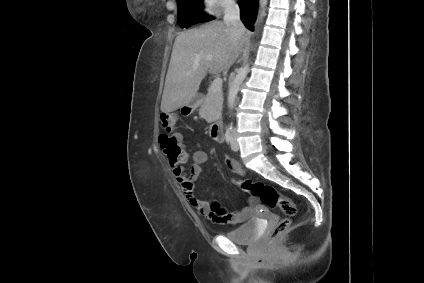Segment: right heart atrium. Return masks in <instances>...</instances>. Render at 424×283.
Returning a JSON list of instances; mask_svg holds the SVG:
<instances>
[{"label": "right heart atrium", "instance_id": "right-heart-atrium-1", "mask_svg": "<svg viewBox=\"0 0 424 283\" xmlns=\"http://www.w3.org/2000/svg\"><path fill=\"white\" fill-rule=\"evenodd\" d=\"M202 4L208 12L219 14L232 8L235 5V0H202Z\"/></svg>", "mask_w": 424, "mask_h": 283}]
</instances>
